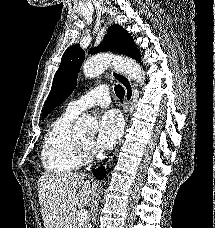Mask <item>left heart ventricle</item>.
Segmentation results:
<instances>
[{"instance_id": "obj_1", "label": "left heart ventricle", "mask_w": 215, "mask_h": 228, "mask_svg": "<svg viewBox=\"0 0 215 228\" xmlns=\"http://www.w3.org/2000/svg\"><path fill=\"white\" fill-rule=\"evenodd\" d=\"M84 144L91 145L93 139H80Z\"/></svg>"}]
</instances>
